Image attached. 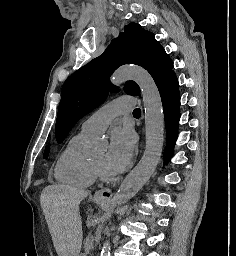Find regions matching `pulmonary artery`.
I'll return each instance as SVG.
<instances>
[{
    "label": "pulmonary artery",
    "instance_id": "pulmonary-artery-1",
    "mask_svg": "<svg viewBox=\"0 0 236 256\" xmlns=\"http://www.w3.org/2000/svg\"><path fill=\"white\" fill-rule=\"evenodd\" d=\"M134 100V96H117V101H109L107 107L104 106L99 108L86 119L82 123L80 133L87 136L101 134L114 117L128 115L129 109L135 108Z\"/></svg>",
    "mask_w": 236,
    "mask_h": 256
}]
</instances>
